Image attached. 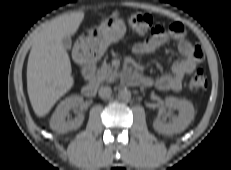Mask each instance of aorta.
<instances>
[{"label":"aorta","instance_id":"obj_1","mask_svg":"<svg viewBox=\"0 0 231 170\" xmlns=\"http://www.w3.org/2000/svg\"><path fill=\"white\" fill-rule=\"evenodd\" d=\"M118 98L122 101H130L131 99V92L128 89H121L118 92Z\"/></svg>","mask_w":231,"mask_h":170}]
</instances>
